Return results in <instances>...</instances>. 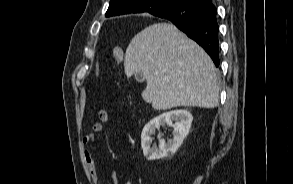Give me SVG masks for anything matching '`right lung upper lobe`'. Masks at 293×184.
I'll return each instance as SVG.
<instances>
[{
	"mask_svg": "<svg viewBox=\"0 0 293 184\" xmlns=\"http://www.w3.org/2000/svg\"><path fill=\"white\" fill-rule=\"evenodd\" d=\"M157 0H111L106 17L117 16L130 13L148 12L152 15H160L176 7L183 1L199 2V5L211 3L212 0H167L170 1L168 7L163 10H156L153 2Z\"/></svg>",
	"mask_w": 293,
	"mask_h": 184,
	"instance_id": "obj_1",
	"label": "right lung upper lobe"
}]
</instances>
